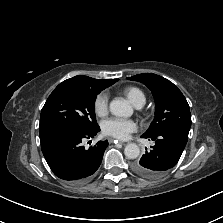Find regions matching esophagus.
I'll list each match as a JSON object with an SVG mask.
<instances>
[{"mask_svg":"<svg viewBox=\"0 0 223 223\" xmlns=\"http://www.w3.org/2000/svg\"><path fill=\"white\" fill-rule=\"evenodd\" d=\"M116 141H117L118 143L122 144V145H125V144H126V142H124V141H118V140H115V139H113V138H110V139H109V142H110V143H113V142L115 143Z\"/></svg>","mask_w":223,"mask_h":223,"instance_id":"1","label":"esophagus"}]
</instances>
